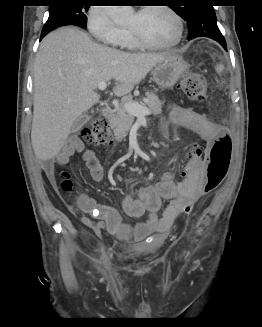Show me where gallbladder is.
Instances as JSON below:
<instances>
[{
    "label": "gallbladder",
    "instance_id": "bac80fb5",
    "mask_svg": "<svg viewBox=\"0 0 262 327\" xmlns=\"http://www.w3.org/2000/svg\"><path fill=\"white\" fill-rule=\"evenodd\" d=\"M90 118L91 116L87 113L82 114L74 121L71 131L77 132L78 130H80L90 120Z\"/></svg>",
    "mask_w": 262,
    "mask_h": 327
}]
</instances>
